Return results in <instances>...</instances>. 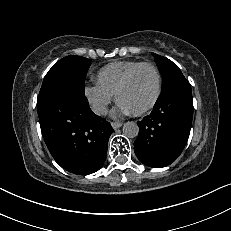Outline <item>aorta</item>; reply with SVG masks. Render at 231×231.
<instances>
[{
  "label": "aorta",
  "mask_w": 231,
  "mask_h": 231,
  "mask_svg": "<svg viewBox=\"0 0 231 231\" xmlns=\"http://www.w3.org/2000/svg\"><path fill=\"white\" fill-rule=\"evenodd\" d=\"M139 127L135 122H126L123 125V134L128 138H135L138 136Z\"/></svg>",
  "instance_id": "aorta-1"
}]
</instances>
